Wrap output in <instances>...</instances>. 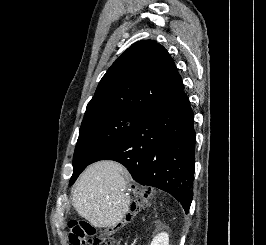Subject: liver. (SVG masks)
Wrapping results in <instances>:
<instances>
[{
	"instance_id": "obj_1",
	"label": "liver",
	"mask_w": 266,
	"mask_h": 245,
	"mask_svg": "<svg viewBox=\"0 0 266 245\" xmlns=\"http://www.w3.org/2000/svg\"><path fill=\"white\" fill-rule=\"evenodd\" d=\"M129 173L114 161H99L87 167L73 191V205L93 227H115L128 213L126 195Z\"/></svg>"
}]
</instances>
